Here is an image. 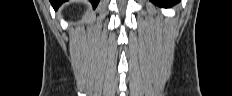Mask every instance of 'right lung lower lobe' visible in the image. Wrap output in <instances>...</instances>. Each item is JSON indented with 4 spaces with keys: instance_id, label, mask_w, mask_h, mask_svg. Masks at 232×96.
I'll use <instances>...</instances> for the list:
<instances>
[{
    "instance_id": "obj_1",
    "label": "right lung lower lobe",
    "mask_w": 232,
    "mask_h": 96,
    "mask_svg": "<svg viewBox=\"0 0 232 96\" xmlns=\"http://www.w3.org/2000/svg\"><path fill=\"white\" fill-rule=\"evenodd\" d=\"M67 0H50V2H51V4H52V6H53V8L55 9V10H57L58 9V7L63 3V2H66ZM91 3H92V5H93V7L95 8L97 5H98V3H99V0H89Z\"/></svg>"
}]
</instances>
